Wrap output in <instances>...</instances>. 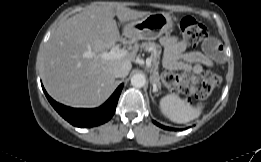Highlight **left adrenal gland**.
<instances>
[{
	"label": "left adrenal gland",
	"mask_w": 261,
	"mask_h": 162,
	"mask_svg": "<svg viewBox=\"0 0 261 162\" xmlns=\"http://www.w3.org/2000/svg\"><path fill=\"white\" fill-rule=\"evenodd\" d=\"M150 97H151L152 101L154 102V97L152 96L151 91H150Z\"/></svg>",
	"instance_id": "a2214340"
}]
</instances>
